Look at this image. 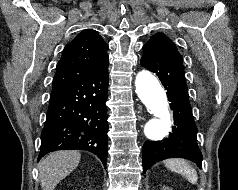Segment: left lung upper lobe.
<instances>
[{
	"instance_id": "obj_1",
	"label": "left lung upper lobe",
	"mask_w": 238,
	"mask_h": 190,
	"mask_svg": "<svg viewBox=\"0 0 238 190\" xmlns=\"http://www.w3.org/2000/svg\"><path fill=\"white\" fill-rule=\"evenodd\" d=\"M143 53H148L161 59L183 62L182 56L179 54L174 42L162 33L153 35L144 44Z\"/></svg>"
}]
</instances>
